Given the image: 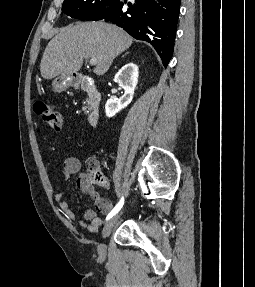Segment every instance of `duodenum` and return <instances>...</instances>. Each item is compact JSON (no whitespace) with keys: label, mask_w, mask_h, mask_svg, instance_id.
<instances>
[{"label":"duodenum","mask_w":255,"mask_h":287,"mask_svg":"<svg viewBox=\"0 0 255 287\" xmlns=\"http://www.w3.org/2000/svg\"><path fill=\"white\" fill-rule=\"evenodd\" d=\"M71 86L84 91L87 94L88 113L87 120L91 126H96L100 119L101 94L93 81L85 78L73 79Z\"/></svg>","instance_id":"1"}]
</instances>
